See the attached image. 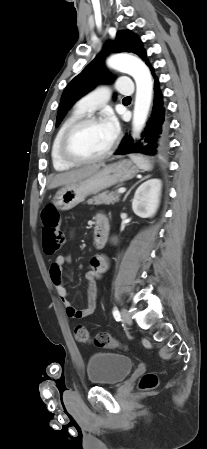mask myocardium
Wrapping results in <instances>:
<instances>
[{
	"mask_svg": "<svg viewBox=\"0 0 207 449\" xmlns=\"http://www.w3.org/2000/svg\"><path fill=\"white\" fill-rule=\"evenodd\" d=\"M102 123V119L96 116H84L73 121L64 131L60 143L59 153L61 158L71 165L90 164L106 159L113 152L116 140L113 139L109 147L100 155L94 157H79L69 149V140L73 133L82 126Z\"/></svg>",
	"mask_w": 207,
	"mask_h": 449,
	"instance_id": "myocardium-1",
	"label": "myocardium"
}]
</instances>
